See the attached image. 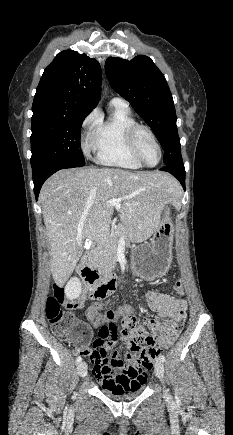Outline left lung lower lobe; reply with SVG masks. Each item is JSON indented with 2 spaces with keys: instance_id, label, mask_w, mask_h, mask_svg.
I'll return each mask as SVG.
<instances>
[{
  "instance_id": "obj_1",
  "label": "left lung lower lobe",
  "mask_w": 233,
  "mask_h": 435,
  "mask_svg": "<svg viewBox=\"0 0 233 435\" xmlns=\"http://www.w3.org/2000/svg\"><path fill=\"white\" fill-rule=\"evenodd\" d=\"M161 170L171 173L180 181L181 185L185 189V169L182 160L166 165L165 167L161 168Z\"/></svg>"
}]
</instances>
